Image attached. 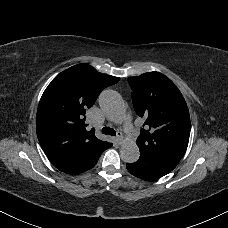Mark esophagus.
<instances>
[{
	"label": "esophagus",
	"mask_w": 228,
	"mask_h": 228,
	"mask_svg": "<svg viewBox=\"0 0 228 228\" xmlns=\"http://www.w3.org/2000/svg\"><path fill=\"white\" fill-rule=\"evenodd\" d=\"M117 139H118V144H122V140H123V135L121 132H117Z\"/></svg>",
	"instance_id": "1"
}]
</instances>
